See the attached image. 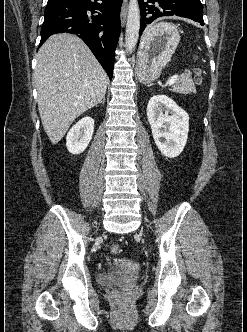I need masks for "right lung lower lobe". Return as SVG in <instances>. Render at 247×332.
Segmentation results:
<instances>
[{"label":"right lung lower lobe","mask_w":247,"mask_h":332,"mask_svg":"<svg viewBox=\"0 0 247 332\" xmlns=\"http://www.w3.org/2000/svg\"><path fill=\"white\" fill-rule=\"evenodd\" d=\"M48 0L41 28V43L57 33L78 35L93 52L110 79L115 49L121 31L120 8L123 0ZM88 11L98 13L89 16Z\"/></svg>","instance_id":"1"}]
</instances>
